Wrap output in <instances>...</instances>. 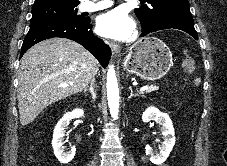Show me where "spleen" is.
Wrapping results in <instances>:
<instances>
[{
    "instance_id": "1",
    "label": "spleen",
    "mask_w": 227,
    "mask_h": 166,
    "mask_svg": "<svg viewBox=\"0 0 227 166\" xmlns=\"http://www.w3.org/2000/svg\"><path fill=\"white\" fill-rule=\"evenodd\" d=\"M200 82H201V80L198 78V79H195V83H196V85H199L200 84Z\"/></svg>"
}]
</instances>
